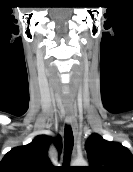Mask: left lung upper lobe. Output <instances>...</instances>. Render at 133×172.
<instances>
[{"instance_id": "5c2ea615", "label": "left lung upper lobe", "mask_w": 133, "mask_h": 172, "mask_svg": "<svg viewBox=\"0 0 133 172\" xmlns=\"http://www.w3.org/2000/svg\"><path fill=\"white\" fill-rule=\"evenodd\" d=\"M85 149L90 164L85 167L86 172H133V156L120 143L92 134L86 141Z\"/></svg>"}]
</instances>
